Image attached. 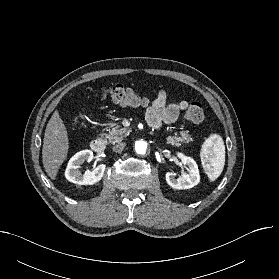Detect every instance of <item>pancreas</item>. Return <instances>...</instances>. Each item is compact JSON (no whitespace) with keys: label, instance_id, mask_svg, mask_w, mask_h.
Masks as SVG:
<instances>
[{"label":"pancreas","instance_id":"cf45deb5","mask_svg":"<svg viewBox=\"0 0 279 279\" xmlns=\"http://www.w3.org/2000/svg\"><path fill=\"white\" fill-rule=\"evenodd\" d=\"M128 133L126 128H121L120 126L113 127L108 133L101 134L105 137L109 143L115 144L122 141ZM167 143L175 146H180L183 143H190L193 141L192 137L188 134V131H182L180 136L175 133L174 136H168L166 138Z\"/></svg>","mask_w":279,"mask_h":279}]
</instances>
